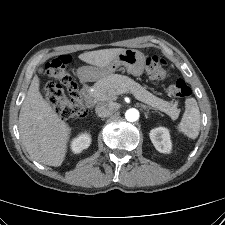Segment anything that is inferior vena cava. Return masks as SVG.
Returning <instances> with one entry per match:
<instances>
[{
    "instance_id": "1",
    "label": "inferior vena cava",
    "mask_w": 225,
    "mask_h": 225,
    "mask_svg": "<svg viewBox=\"0 0 225 225\" xmlns=\"http://www.w3.org/2000/svg\"><path fill=\"white\" fill-rule=\"evenodd\" d=\"M113 111L112 103L99 102L95 107V112L99 117H108Z\"/></svg>"
}]
</instances>
